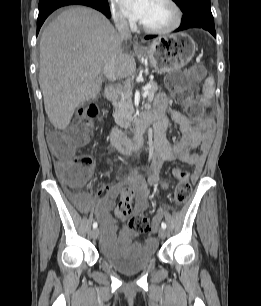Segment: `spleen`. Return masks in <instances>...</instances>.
I'll return each instance as SVG.
<instances>
[{
  "mask_svg": "<svg viewBox=\"0 0 261 306\" xmlns=\"http://www.w3.org/2000/svg\"><path fill=\"white\" fill-rule=\"evenodd\" d=\"M214 92V79L212 77H208L203 85V93L207 98H212L214 96Z\"/></svg>",
  "mask_w": 261,
  "mask_h": 306,
  "instance_id": "spleen-1",
  "label": "spleen"
}]
</instances>
